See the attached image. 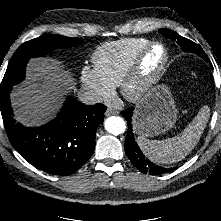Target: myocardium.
<instances>
[{"label": "myocardium", "mask_w": 221, "mask_h": 221, "mask_svg": "<svg viewBox=\"0 0 221 221\" xmlns=\"http://www.w3.org/2000/svg\"><path fill=\"white\" fill-rule=\"evenodd\" d=\"M155 47L162 49V60L154 73L144 78L142 75L143 62L149 52ZM168 61L169 52L167 47L159 41L149 42L136 54L120 82L119 86L122 96L129 102L136 103L141 101L161 80Z\"/></svg>", "instance_id": "f54148a6"}]
</instances>
